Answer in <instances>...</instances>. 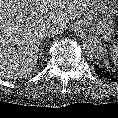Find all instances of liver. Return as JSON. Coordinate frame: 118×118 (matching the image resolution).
I'll return each instance as SVG.
<instances>
[{"label":"liver","mask_w":118,"mask_h":118,"mask_svg":"<svg viewBox=\"0 0 118 118\" xmlns=\"http://www.w3.org/2000/svg\"><path fill=\"white\" fill-rule=\"evenodd\" d=\"M90 0H0V76L23 78L37 64L47 26H65Z\"/></svg>","instance_id":"liver-1"}]
</instances>
